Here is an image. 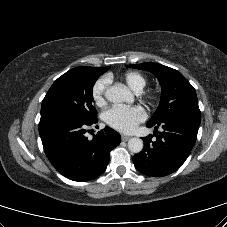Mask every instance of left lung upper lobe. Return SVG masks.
<instances>
[{
    "label": "left lung upper lobe",
    "instance_id": "left-lung-upper-lobe-1",
    "mask_svg": "<svg viewBox=\"0 0 227 227\" xmlns=\"http://www.w3.org/2000/svg\"><path fill=\"white\" fill-rule=\"evenodd\" d=\"M127 67L148 70L161 84L160 104L148 124H157L168 118L185 114L201 115L195 89L177 70L156 63L127 65Z\"/></svg>",
    "mask_w": 227,
    "mask_h": 227
}]
</instances>
